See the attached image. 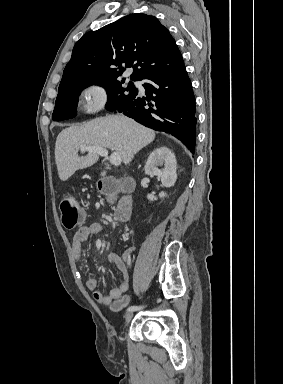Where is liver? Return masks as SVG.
Here are the masks:
<instances>
[{
    "instance_id": "obj_1",
    "label": "liver",
    "mask_w": 283,
    "mask_h": 384,
    "mask_svg": "<svg viewBox=\"0 0 283 384\" xmlns=\"http://www.w3.org/2000/svg\"><path fill=\"white\" fill-rule=\"evenodd\" d=\"M155 140L154 130L144 128L126 116H105L87 122L84 126H70L57 136L55 144V162L58 176L66 182L76 170H83L96 164L99 154L89 152L87 156H78L80 146H98L110 148L119 154L124 164H129L141 148Z\"/></svg>"
}]
</instances>
